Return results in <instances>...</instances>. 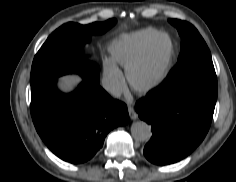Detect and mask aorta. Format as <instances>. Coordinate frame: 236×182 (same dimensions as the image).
<instances>
[{"label":"aorta","mask_w":236,"mask_h":182,"mask_svg":"<svg viewBox=\"0 0 236 182\" xmlns=\"http://www.w3.org/2000/svg\"><path fill=\"white\" fill-rule=\"evenodd\" d=\"M131 134L136 141H148L151 137V127L144 121L134 122L131 125Z\"/></svg>","instance_id":"762f6f07"}]
</instances>
